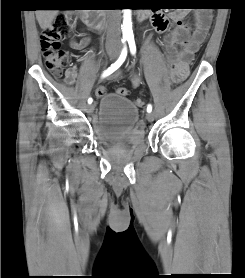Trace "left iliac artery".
Here are the masks:
<instances>
[{
    "mask_svg": "<svg viewBox=\"0 0 245 278\" xmlns=\"http://www.w3.org/2000/svg\"><path fill=\"white\" fill-rule=\"evenodd\" d=\"M128 43H129L130 51L134 55L136 53V46H135L134 37L130 36L128 38ZM151 111H152V105L149 104L147 106V112H151Z\"/></svg>",
    "mask_w": 245,
    "mask_h": 278,
    "instance_id": "1",
    "label": "left iliac artery"
}]
</instances>
